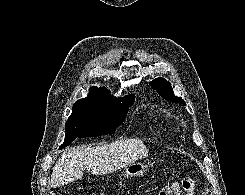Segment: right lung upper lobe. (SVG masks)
Wrapping results in <instances>:
<instances>
[{
  "mask_svg": "<svg viewBox=\"0 0 245 195\" xmlns=\"http://www.w3.org/2000/svg\"><path fill=\"white\" fill-rule=\"evenodd\" d=\"M83 99H90V100H97V101H104V102H111V103H124L134 99L133 95L126 96L124 98H116L110 95V92L106 88H97L95 86L89 89V94L86 98Z\"/></svg>",
  "mask_w": 245,
  "mask_h": 195,
  "instance_id": "right-lung-upper-lobe-1",
  "label": "right lung upper lobe"
}]
</instances>
